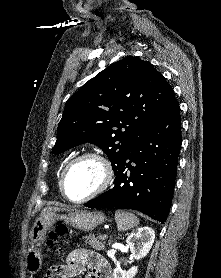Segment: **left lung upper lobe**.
<instances>
[{
	"instance_id": "left-lung-upper-lobe-1",
	"label": "left lung upper lobe",
	"mask_w": 221,
	"mask_h": 278,
	"mask_svg": "<svg viewBox=\"0 0 221 278\" xmlns=\"http://www.w3.org/2000/svg\"><path fill=\"white\" fill-rule=\"evenodd\" d=\"M176 101L171 86L149 62L126 57L68 99L53 152L90 142L108 155L114 169L131 143Z\"/></svg>"
}]
</instances>
